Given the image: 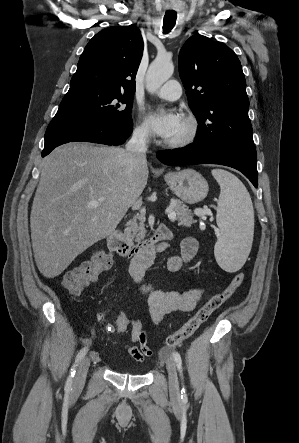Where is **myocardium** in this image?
<instances>
[{
    "label": "myocardium",
    "instance_id": "myocardium-1",
    "mask_svg": "<svg viewBox=\"0 0 299 443\" xmlns=\"http://www.w3.org/2000/svg\"><path fill=\"white\" fill-rule=\"evenodd\" d=\"M185 125L184 134L176 139L165 140L163 145L170 149H184L196 143L200 136L201 127L198 119L193 115L182 117Z\"/></svg>",
    "mask_w": 299,
    "mask_h": 443
}]
</instances>
